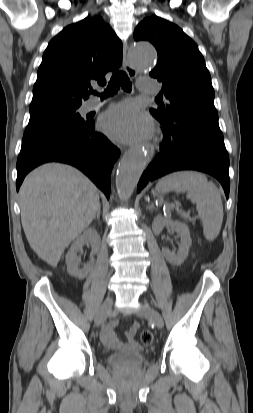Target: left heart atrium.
Segmentation results:
<instances>
[{
	"label": "left heart atrium",
	"instance_id": "obj_1",
	"mask_svg": "<svg viewBox=\"0 0 253 413\" xmlns=\"http://www.w3.org/2000/svg\"><path fill=\"white\" fill-rule=\"evenodd\" d=\"M100 129L125 143L148 137L152 132L150 118L132 103L124 102L107 110L99 120Z\"/></svg>",
	"mask_w": 253,
	"mask_h": 413
}]
</instances>
